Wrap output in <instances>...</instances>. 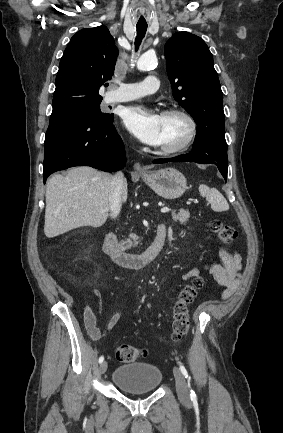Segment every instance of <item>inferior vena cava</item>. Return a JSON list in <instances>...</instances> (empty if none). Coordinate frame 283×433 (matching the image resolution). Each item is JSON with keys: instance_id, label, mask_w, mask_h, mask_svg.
<instances>
[{"instance_id": "602c4592", "label": "inferior vena cava", "mask_w": 283, "mask_h": 433, "mask_svg": "<svg viewBox=\"0 0 283 433\" xmlns=\"http://www.w3.org/2000/svg\"><path fill=\"white\" fill-rule=\"evenodd\" d=\"M124 182L125 178L121 170L112 176L109 194L110 217L112 219H115L121 210V194Z\"/></svg>"}]
</instances>
